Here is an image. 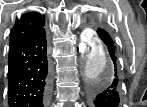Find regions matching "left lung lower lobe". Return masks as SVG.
Instances as JSON below:
<instances>
[{
    "mask_svg": "<svg viewBox=\"0 0 147 107\" xmlns=\"http://www.w3.org/2000/svg\"><path fill=\"white\" fill-rule=\"evenodd\" d=\"M97 33L109 53L113 64V75L105 82L89 83L86 90L88 102L90 107H120V79L116 46L107 31L99 28Z\"/></svg>",
    "mask_w": 147,
    "mask_h": 107,
    "instance_id": "1",
    "label": "left lung lower lobe"
}]
</instances>
